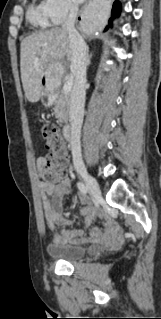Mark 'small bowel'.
I'll use <instances>...</instances> for the list:
<instances>
[{
    "label": "small bowel",
    "mask_w": 161,
    "mask_h": 319,
    "mask_svg": "<svg viewBox=\"0 0 161 319\" xmlns=\"http://www.w3.org/2000/svg\"><path fill=\"white\" fill-rule=\"evenodd\" d=\"M45 163V159L40 157L37 160L39 167H42ZM41 189L42 205L45 215V220L50 228H54L56 225H68L69 221L61 215V209L63 202L67 195H70L73 191L71 183L68 179H62L57 184L42 181ZM52 197V199H50ZM83 203L87 202V198L81 196ZM80 213L85 216L84 229L88 228L96 218H103L105 212L104 209H91L84 207L80 210ZM84 229L66 231L62 230L60 234L54 235V239L59 242L81 244L88 240H99L103 236L106 239L116 241L118 239L119 225L110 218L104 219L103 232L98 228H92L89 234V238L84 237Z\"/></svg>",
    "instance_id": "1"
}]
</instances>
